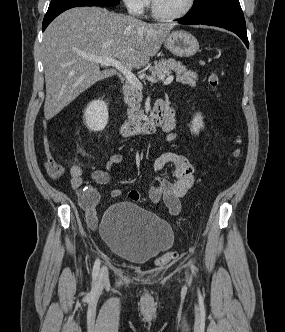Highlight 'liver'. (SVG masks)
<instances>
[{
	"label": "liver",
	"mask_w": 285,
	"mask_h": 332,
	"mask_svg": "<svg viewBox=\"0 0 285 332\" xmlns=\"http://www.w3.org/2000/svg\"><path fill=\"white\" fill-rule=\"evenodd\" d=\"M172 27L99 7H78L59 15L43 38L45 119L56 116L96 82L117 73L100 71L99 63L87 56L116 59L128 70L142 68L159 51Z\"/></svg>",
	"instance_id": "1"
}]
</instances>
